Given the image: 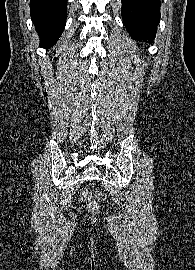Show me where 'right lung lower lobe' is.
<instances>
[{"mask_svg":"<svg viewBox=\"0 0 195 270\" xmlns=\"http://www.w3.org/2000/svg\"><path fill=\"white\" fill-rule=\"evenodd\" d=\"M67 0H31L30 13L40 35V47L54 45L64 30L67 18Z\"/></svg>","mask_w":195,"mask_h":270,"instance_id":"98d812e1","label":"right lung lower lobe"}]
</instances>
